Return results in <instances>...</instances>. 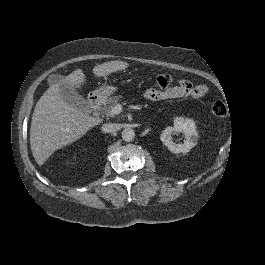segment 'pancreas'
<instances>
[{"label":"pancreas","instance_id":"obj_1","mask_svg":"<svg viewBox=\"0 0 265 265\" xmlns=\"http://www.w3.org/2000/svg\"><path fill=\"white\" fill-rule=\"evenodd\" d=\"M122 98L121 95L119 94H116L115 96L113 97H110L103 105L102 107V111L108 115V116H111V110L114 106L118 105L119 104V100Z\"/></svg>","mask_w":265,"mask_h":265}]
</instances>
